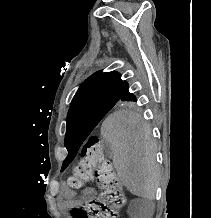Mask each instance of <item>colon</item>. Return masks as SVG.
Masks as SVG:
<instances>
[{"label":"colon","instance_id":"5ec220e1","mask_svg":"<svg viewBox=\"0 0 211 218\" xmlns=\"http://www.w3.org/2000/svg\"><path fill=\"white\" fill-rule=\"evenodd\" d=\"M92 181L98 184L100 193L88 204L75 207L71 212L72 217L117 218L126 203V197L115 167L104 154L97 136H90L83 143L68 185L78 190Z\"/></svg>","mask_w":211,"mask_h":218}]
</instances>
